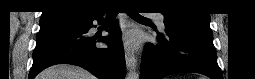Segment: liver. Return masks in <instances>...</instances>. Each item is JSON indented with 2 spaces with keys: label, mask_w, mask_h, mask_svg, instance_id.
Masks as SVG:
<instances>
[{
  "label": "liver",
  "mask_w": 255,
  "mask_h": 79,
  "mask_svg": "<svg viewBox=\"0 0 255 79\" xmlns=\"http://www.w3.org/2000/svg\"><path fill=\"white\" fill-rule=\"evenodd\" d=\"M37 79H96V77L81 67L58 64L42 71Z\"/></svg>",
  "instance_id": "liver-1"
}]
</instances>
